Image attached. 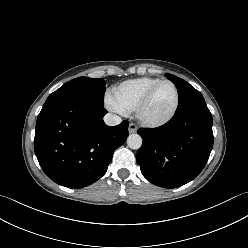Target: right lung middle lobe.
Instances as JSON below:
<instances>
[{"label": "right lung middle lobe", "instance_id": "obj_1", "mask_svg": "<svg viewBox=\"0 0 248 248\" xmlns=\"http://www.w3.org/2000/svg\"><path fill=\"white\" fill-rule=\"evenodd\" d=\"M105 89V82L101 78L78 77L50 94L47 100L78 96L88 98L97 104H103Z\"/></svg>", "mask_w": 248, "mask_h": 248}]
</instances>
